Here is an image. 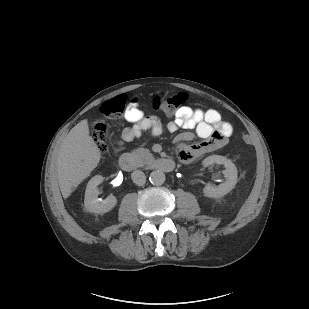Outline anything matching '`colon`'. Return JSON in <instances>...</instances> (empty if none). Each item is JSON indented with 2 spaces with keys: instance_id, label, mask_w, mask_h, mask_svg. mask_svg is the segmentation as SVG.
<instances>
[{
  "instance_id": "5ec220e1",
  "label": "colon",
  "mask_w": 309,
  "mask_h": 309,
  "mask_svg": "<svg viewBox=\"0 0 309 309\" xmlns=\"http://www.w3.org/2000/svg\"><path fill=\"white\" fill-rule=\"evenodd\" d=\"M186 101L184 93H177L171 96L157 95L153 99V106L162 110L167 114L175 113L176 109ZM126 104V97L120 96L115 99L105 101L101 105V112L107 118H119L122 116ZM93 137L98 145L101 153H105L108 149L107 142L110 138V131L104 123H98L94 127ZM242 141L246 144L252 142L250 134L244 132L241 135Z\"/></svg>"
}]
</instances>
